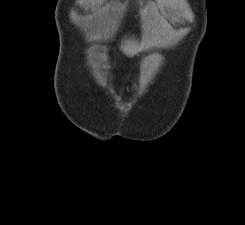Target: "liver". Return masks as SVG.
Segmentation results:
<instances>
[{
    "label": "liver",
    "mask_w": 245,
    "mask_h": 225,
    "mask_svg": "<svg viewBox=\"0 0 245 225\" xmlns=\"http://www.w3.org/2000/svg\"><path fill=\"white\" fill-rule=\"evenodd\" d=\"M121 49L126 55L130 57H133L135 54H137L140 51L138 44L130 40L126 41L124 45H122Z\"/></svg>",
    "instance_id": "liver-1"
}]
</instances>
